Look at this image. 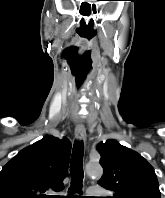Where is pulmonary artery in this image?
I'll list each match as a JSON object with an SVG mask.
<instances>
[{
  "label": "pulmonary artery",
  "mask_w": 165,
  "mask_h": 198,
  "mask_svg": "<svg viewBox=\"0 0 165 198\" xmlns=\"http://www.w3.org/2000/svg\"><path fill=\"white\" fill-rule=\"evenodd\" d=\"M99 189H102V187H91V188H89V191L92 192V191H96Z\"/></svg>",
  "instance_id": "1"
}]
</instances>
